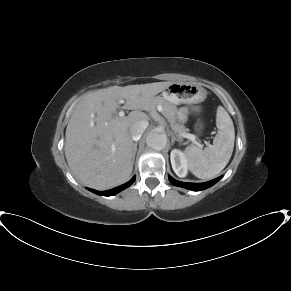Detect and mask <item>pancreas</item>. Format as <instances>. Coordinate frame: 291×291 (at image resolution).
<instances>
[{
	"label": "pancreas",
	"instance_id": "obj_1",
	"mask_svg": "<svg viewBox=\"0 0 291 291\" xmlns=\"http://www.w3.org/2000/svg\"><path fill=\"white\" fill-rule=\"evenodd\" d=\"M156 106H161L163 108L162 110L163 116L168 120L172 130L179 137H181L180 136L181 133H187L188 129L182 124H179L177 122V118H176L177 107L174 104H171L170 102L165 100L163 97L157 96L152 99L150 106L147 108V110H151L155 108Z\"/></svg>",
	"mask_w": 291,
	"mask_h": 291
}]
</instances>
